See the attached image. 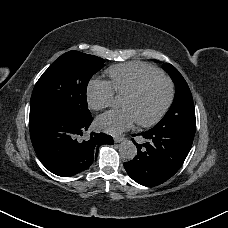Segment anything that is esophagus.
Returning a JSON list of instances; mask_svg holds the SVG:
<instances>
[{"label": "esophagus", "instance_id": "obj_1", "mask_svg": "<svg viewBox=\"0 0 228 228\" xmlns=\"http://www.w3.org/2000/svg\"><path fill=\"white\" fill-rule=\"evenodd\" d=\"M124 140V137L123 136H118V137H115L114 138V142L115 143H120V142H122Z\"/></svg>", "mask_w": 228, "mask_h": 228}]
</instances>
